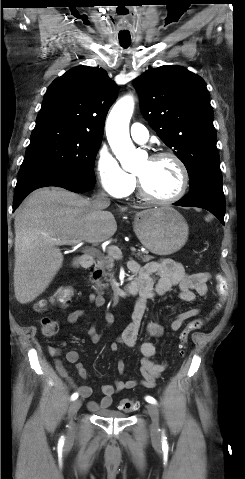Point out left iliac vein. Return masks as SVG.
<instances>
[{"label": "left iliac vein", "instance_id": "4c4485c4", "mask_svg": "<svg viewBox=\"0 0 245 479\" xmlns=\"http://www.w3.org/2000/svg\"><path fill=\"white\" fill-rule=\"evenodd\" d=\"M147 412L151 418L150 430L153 435H157L159 432V411L153 404L146 405Z\"/></svg>", "mask_w": 245, "mask_h": 479}]
</instances>
